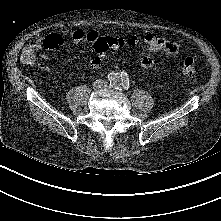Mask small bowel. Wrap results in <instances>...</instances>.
Instances as JSON below:
<instances>
[{"mask_svg": "<svg viewBox=\"0 0 221 221\" xmlns=\"http://www.w3.org/2000/svg\"><path fill=\"white\" fill-rule=\"evenodd\" d=\"M66 36H70L74 44H79L82 42L94 43L99 37H101L96 31H84L79 29L73 32H69L67 30H61L59 32L52 33L45 38H38L34 42V47L38 51H42L43 49H53L62 45ZM144 43L147 47V52L140 58V65L145 69L152 68L155 65L156 53L165 52L167 54L173 55L176 54L179 50L177 43L151 32L144 36ZM41 58L43 59V62L39 63L38 66L41 70L47 71L49 69L47 64L48 57L46 54L41 53ZM101 65L102 58L100 56L93 57L89 60V66L92 69H98L101 67Z\"/></svg>", "mask_w": 221, "mask_h": 221, "instance_id": "small-bowel-1", "label": "small bowel"}]
</instances>
